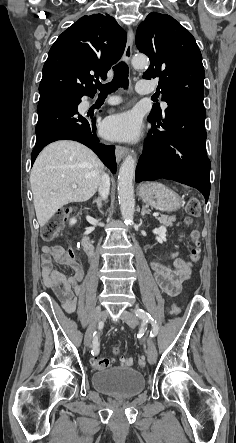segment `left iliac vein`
<instances>
[{
	"mask_svg": "<svg viewBox=\"0 0 236 443\" xmlns=\"http://www.w3.org/2000/svg\"><path fill=\"white\" fill-rule=\"evenodd\" d=\"M122 319L126 324L132 328L136 327L138 324V318L135 314L129 311H124L122 313ZM148 361L150 364H154L157 361V349L151 338H148Z\"/></svg>",
	"mask_w": 236,
	"mask_h": 443,
	"instance_id": "1",
	"label": "left iliac vein"
}]
</instances>
